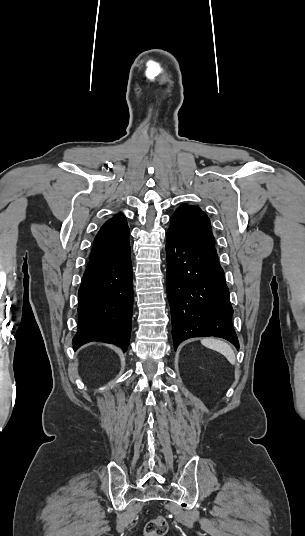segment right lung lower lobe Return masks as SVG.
Instances as JSON below:
<instances>
[{
  "mask_svg": "<svg viewBox=\"0 0 305 536\" xmlns=\"http://www.w3.org/2000/svg\"><path fill=\"white\" fill-rule=\"evenodd\" d=\"M76 350L85 343H112L125 352L129 346L133 309L130 246L89 258L78 292Z\"/></svg>",
  "mask_w": 305,
  "mask_h": 536,
  "instance_id": "obj_1",
  "label": "right lung lower lobe"
}]
</instances>
